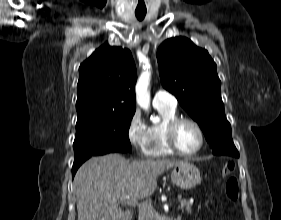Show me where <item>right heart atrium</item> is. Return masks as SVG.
I'll use <instances>...</instances> for the list:
<instances>
[{"label": "right heart atrium", "instance_id": "right-heart-atrium-1", "mask_svg": "<svg viewBox=\"0 0 281 220\" xmlns=\"http://www.w3.org/2000/svg\"><path fill=\"white\" fill-rule=\"evenodd\" d=\"M127 138L136 150L145 151L148 142V126L138 110L131 115L128 122Z\"/></svg>", "mask_w": 281, "mask_h": 220}]
</instances>
